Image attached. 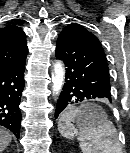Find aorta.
Returning a JSON list of instances; mask_svg holds the SVG:
<instances>
[{
    "label": "aorta",
    "instance_id": "obj_1",
    "mask_svg": "<svg viewBox=\"0 0 130 153\" xmlns=\"http://www.w3.org/2000/svg\"><path fill=\"white\" fill-rule=\"evenodd\" d=\"M64 78H65V69L63 67V64L60 61H57L54 64L52 72L53 95H58L61 92L64 83Z\"/></svg>",
    "mask_w": 130,
    "mask_h": 153
}]
</instances>
